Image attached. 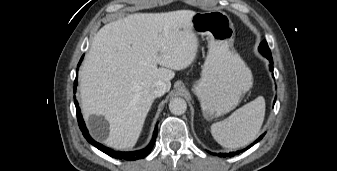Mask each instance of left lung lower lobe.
I'll return each instance as SVG.
<instances>
[{
	"instance_id": "1",
	"label": "left lung lower lobe",
	"mask_w": 337,
	"mask_h": 171,
	"mask_svg": "<svg viewBox=\"0 0 337 171\" xmlns=\"http://www.w3.org/2000/svg\"><path fill=\"white\" fill-rule=\"evenodd\" d=\"M266 58L270 61V70L273 71V60H272V56H268V57H266ZM275 101H276V100H274V103H275ZM264 135H265V134L261 135V136H260V137H259L253 144H251L250 146H248V147H247L246 149H244V150H247V149H249L251 146H253L254 144H256L258 141H260V140L263 138ZM240 152H242V150H241V151H236V152H230V153H228V154H226V153H224V154L219 153L218 156H220V157H226V156L232 157V156H235V155L239 154ZM213 155H216V154L214 153Z\"/></svg>"
}]
</instances>
